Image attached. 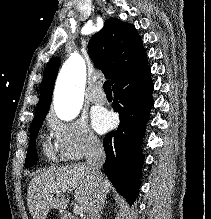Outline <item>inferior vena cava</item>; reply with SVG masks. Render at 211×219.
Returning a JSON list of instances; mask_svg holds the SVG:
<instances>
[{"label":"inferior vena cava","mask_w":211,"mask_h":219,"mask_svg":"<svg viewBox=\"0 0 211 219\" xmlns=\"http://www.w3.org/2000/svg\"><path fill=\"white\" fill-rule=\"evenodd\" d=\"M106 159L104 148L101 142L96 138L89 140V147L86 152V164L90 170L91 177L95 181V192L91 201L86 219H100L105 201V191L103 189V176L100 169Z\"/></svg>","instance_id":"1"}]
</instances>
